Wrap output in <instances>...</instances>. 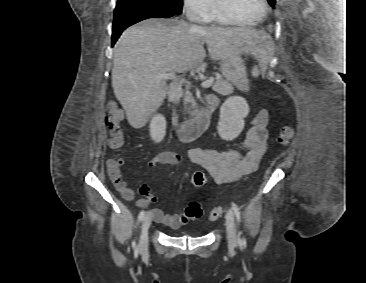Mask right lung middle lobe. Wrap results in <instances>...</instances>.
Listing matches in <instances>:
<instances>
[{
  "mask_svg": "<svg viewBox=\"0 0 366 283\" xmlns=\"http://www.w3.org/2000/svg\"><path fill=\"white\" fill-rule=\"evenodd\" d=\"M149 6L161 8L175 15L181 14L182 12V0H118L116 9Z\"/></svg>",
  "mask_w": 366,
  "mask_h": 283,
  "instance_id": "1",
  "label": "right lung middle lobe"
}]
</instances>
